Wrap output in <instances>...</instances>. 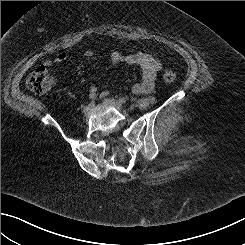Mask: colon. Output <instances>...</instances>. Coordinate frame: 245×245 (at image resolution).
<instances>
[{"instance_id":"5ec220e1","label":"colon","mask_w":245,"mask_h":245,"mask_svg":"<svg viewBox=\"0 0 245 245\" xmlns=\"http://www.w3.org/2000/svg\"><path fill=\"white\" fill-rule=\"evenodd\" d=\"M176 73L172 69H164L162 73V81L166 85H170L176 80ZM50 78L48 69L45 66H40L35 71L30 73L26 79L27 87L36 94H44L49 87Z\"/></svg>"}]
</instances>
